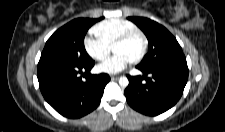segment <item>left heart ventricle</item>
I'll use <instances>...</instances> for the list:
<instances>
[{"mask_svg": "<svg viewBox=\"0 0 225 132\" xmlns=\"http://www.w3.org/2000/svg\"><path fill=\"white\" fill-rule=\"evenodd\" d=\"M143 47V41L141 37L134 36L129 41L117 45L113 50L114 53H124L129 56L131 59H134L136 56L139 55Z\"/></svg>", "mask_w": 225, "mask_h": 132, "instance_id": "left-heart-ventricle-1", "label": "left heart ventricle"}]
</instances>
